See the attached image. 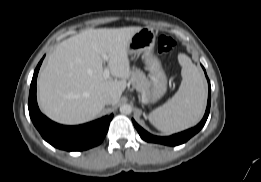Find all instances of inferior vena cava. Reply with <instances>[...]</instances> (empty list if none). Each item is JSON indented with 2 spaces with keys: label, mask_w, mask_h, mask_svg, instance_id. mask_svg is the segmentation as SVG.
I'll list each match as a JSON object with an SVG mask.
<instances>
[{
  "label": "inferior vena cava",
  "mask_w": 261,
  "mask_h": 182,
  "mask_svg": "<svg viewBox=\"0 0 261 182\" xmlns=\"http://www.w3.org/2000/svg\"><path fill=\"white\" fill-rule=\"evenodd\" d=\"M103 102L105 103V104H111L112 103V97L110 96V95H105L104 97H103Z\"/></svg>",
  "instance_id": "602c4592"
}]
</instances>
